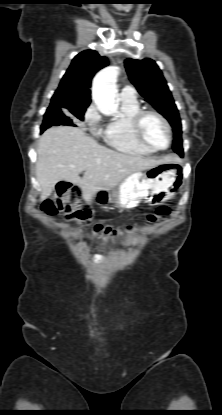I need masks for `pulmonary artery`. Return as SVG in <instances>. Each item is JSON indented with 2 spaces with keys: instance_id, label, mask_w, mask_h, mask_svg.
I'll use <instances>...</instances> for the list:
<instances>
[{
  "instance_id": "1",
  "label": "pulmonary artery",
  "mask_w": 222,
  "mask_h": 415,
  "mask_svg": "<svg viewBox=\"0 0 222 415\" xmlns=\"http://www.w3.org/2000/svg\"><path fill=\"white\" fill-rule=\"evenodd\" d=\"M120 98L131 100L136 98V91L133 87L126 85L122 88L120 92Z\"/></svg>"
}]
</instances>
